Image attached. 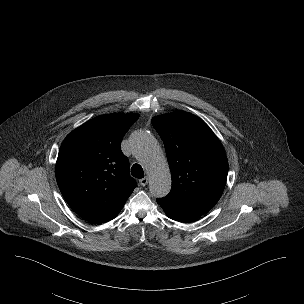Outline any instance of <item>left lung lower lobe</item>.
<instances>
[{
    "mask_svg": "<svg viewBox=\"0 0 304 304\" xmlns=\"http://www.w3.org/2000/svg\"><path fill=\"white\" fill-rule=\"evenodd\" d=\"M157 203L163 208L166 215L179 222H190L197 218H199L201 215L188 211L184 209L183 207L172 203L164 198L156 199Z\"/></svg>",
    "mask_w": 304,
    "mask_h": 304,
    "instance_id": "0a47b994",
    "label": "left lung lower lobe"
}]
</instances>
